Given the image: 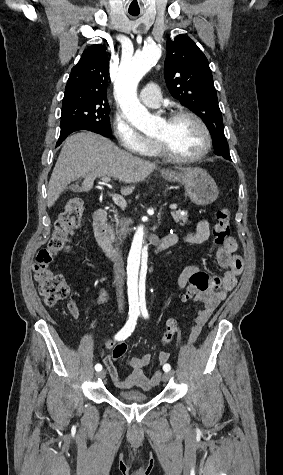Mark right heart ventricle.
<instances>
[{
	"instance_id": "right-heart-ventricle-1",
	"label": "right heart ventricle",
	"mask_w": 283,
	"mask_h": 475,
	"mask_svg": "<svg viewBox=\"0 0 283 475\" xmlns=\"http://www.w3.org/2000/svg\"><path fill=\"white\" fill-rule=\"evenodd\" d=\"M151 154L153 156H159L155 143H153V146H152V149H151Z\"/></svg>"
}]
</instances>
